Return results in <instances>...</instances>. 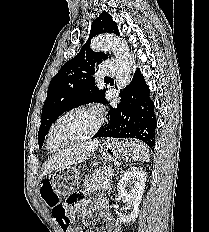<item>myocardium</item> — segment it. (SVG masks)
Returning <instances> with one entry per match:
<instances>
[{
    "instance_id": "1",
    "label": "myocardium",
    "mask_w": 209,
    "mask_h": 232,
    "mask_svg": "<svg viewBox=\"0 0 209 232\" xmlns=\"http://www.w3.org/2000/svg\"><path fill=\"white\" fill-rule=\"evenodd\" d=\"M77 112H82V113H85V114L91 116L92 119H93V123L86 130H84L83 132H81L79 134H76V135H72V136L66 137L65 138V145L69 144L70 142L78 141V140L84 139L86 137H89V136L93 135L94 133H96L98 131V129L100 128V126H101V124L103 122V118H102L101 114L98 111H96L95 109L86 107V106H76V107L70 108L67 111L63 112L53 122V124L51 125V127L49 129L48 137H47V140H46V145H47V148L50 151H55L56 150V149H52L50 147V142L52 140L54 131L57 129V127L59 126V124L66 117H68L69 115H71L73 113H77ZM64 146H62V147H64Z\"/></svg>"
}]
</instances>
